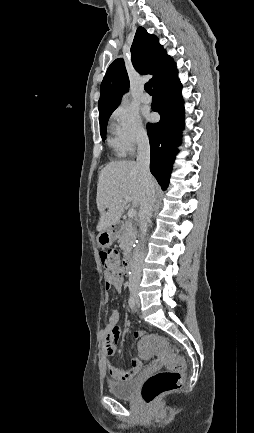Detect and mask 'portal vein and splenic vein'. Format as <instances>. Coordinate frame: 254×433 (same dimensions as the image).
<instances>
[{
  "label": "portal vein and splenic vein",
  "mask_w": 254,
  "mask_h": 433,
  "mask_svg": "<svg viewBox=\"0 0 254 433\" xmlns=\"http://www.w3.org/2000/svg\"><path fill=\"white\" fill-rule=\"evenodd\" d=\"M124 199H125L127 202H130V201H131V198H130L128 195H125V196H124ZM136 213H137L136 209L132 208V209H130V210L128 211V217H129V218H133V217L136 216Z\"/></svg>",
  "instance_id": "obj_1"
}]
</instances>
